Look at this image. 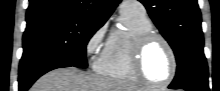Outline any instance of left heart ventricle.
I'll use <instances>...</instances> for the list:
<instances>
[{"label":"left heart ventricle","instance_id":"left-heart-ventricle-1","mask_svg":"<svg viewBox=\"0 0 220 91\" xmlns=\"http://www.w3.org/2000/svg\"><path fill=\"white\" fill-rule=\"evenodd\" d=\"M143 69L146 76L154 82L165 81L171 72V58L163 43H151L143 57Z\"/></svg>","mask_w":220,"mask_h":91}]
</instances>
